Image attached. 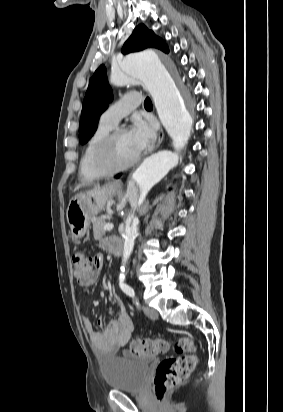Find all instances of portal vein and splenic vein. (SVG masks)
Instances as JSON below:
<instances>
[{
	"mask_svg": "<svg viewBox=\"0 0 283 412\" xmlns=\"http://www.w3.org/2000/svg\"><path fill=\"white\" fill-rule=\"evenodd\" d=\"M113 227H114V225L112 223H107V224L104 225L103 229H104V231H110V230L113 229Z\"/></svg>",
	"mask_w": 283,
	"mask_h": 412,
	"instance_id": "1",
	"label": "portal vein and splenic vein"
}]
</instances>
